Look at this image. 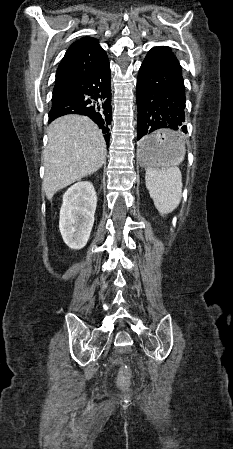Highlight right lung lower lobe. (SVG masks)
<instances>
[{
    "instance_id": "1",
    "label": "right lung lower lobe",
    "mask_w": 233,
    "mask_h": 449,
    "mask_svg": "<svg viewBox=\"0 0 233 449\" xmlns=\"http://www.w3.org/2000/svg\"><path fill=\"white\" fill-rule=\"evenodd\" d=\"M67 95L52 101L49 123L66 114H80L91 118L101 129L109 145L111 110V71L107 61L84 78L64 88Z\"/></svg>"
}]
</instances>
